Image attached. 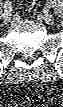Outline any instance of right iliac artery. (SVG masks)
Returning <instances> with one entry per match:
<instances>
[{"label":"right iliac artery","instance_id":"obj_1","mask_svg":"<svg viewBox=\"0 0 63 107\" xmlns=\"http://www.w3.org/2000/svg\"><path fill=\"white\" fill-rule=\"evenodd\" d=\"M11 11H12V5L9 1H6L5 4H4V13H3V16L6 15V14H10L11 15Z\"/></svg>","mask_w":63,"mask_h":107}]
</instances>
